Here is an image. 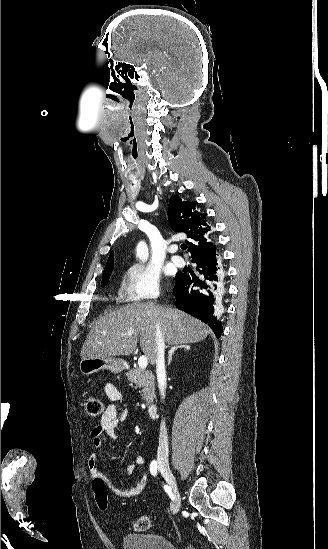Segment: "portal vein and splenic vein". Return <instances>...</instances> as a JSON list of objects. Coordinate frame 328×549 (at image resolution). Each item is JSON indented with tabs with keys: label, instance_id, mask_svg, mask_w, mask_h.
I'll list each match as a JSON object with an SVG mask.
<instances>
[{
	"label": "portal vein and splenic vein",
	"instance_id": "obj_1",
	"mask_svg": "<svg viewBox=\"0 0 328 549\" xmlns=\"http://www.w3.org/2000/svg\"><path fill=\"white\" fill-rule=\"evenodd\" d=\"M128 337H131V333H128ZM138 365H139L140 369H146V367L148 365L147 357H144V355H141V357H139V359H138Z\"/></svg>",
	"mask_w": 328,
	"mask_h": 549
}]
</instances>
